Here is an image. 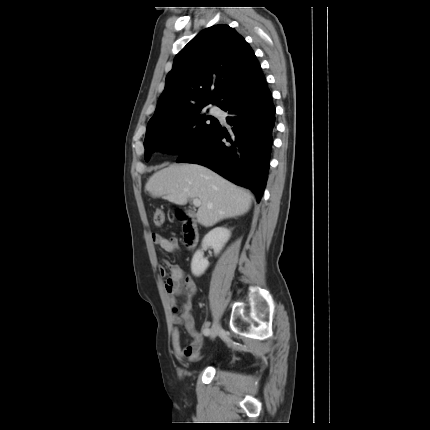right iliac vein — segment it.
<instances>
[{
	"label": "right iliac vein",
	"instance_id": "right-iliac-vein-1",
	"mask_svg": "<svg viewBox=\"0 0 430 430\" xmlns=\"http://www.w3.org/2000/svg\"><path fill=\"white\" fill-rule=\"evenodd\" d=\"M220 329H221V326H220L218 320H215L213 325H212L211 331H210L211 338L216 337V335L218 334Z\"/></svg>",
	"mask_w": 430,
	"mask_h": 430
}]
</instances>
